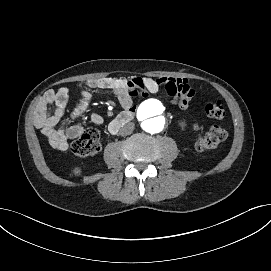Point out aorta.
<instances>
[{
    "label": "aorta",
    "instance_id": "1",
    "mask_svg": "<svg viewBox=\"0 0 271 271\" xmlns=\"http://www.w3.org/2000/svg\"><path fill=\"white\" fill-rule=\"evenodd\" d=\"M136 116L143 130L150 134L161 132L167 123V111L156 99L143 101L137 108Z\"/></svg>",
    "mask_w": 271,
    "mask_h": 271
}]
</instances>
